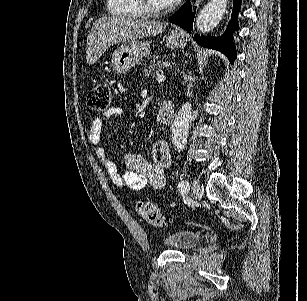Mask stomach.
Listing matches in <instances>:
<instances>
[{
    "label": "stomach",
    "mask_w": 307,
    "mask_h": 301,
    "mask_svg": "<svg viewBox=\"0 0 307 301\" xmlns=\"http://www.w3.org/2000/svg\"><path fill=\"white\" fill-rule=\"evenodd\" d=\"M185 44L186 40L182 32L172 30L166 36L165 46H168V48H183ZM150 52L151 44L147 40L146 42H142V40H127V42H123L121 46L114 50L110 64L116 74H122V72H127L132 66L144 60V56H147Z\"/></svg>",
    "instance_id": "obj_1"
}]
</instances>
